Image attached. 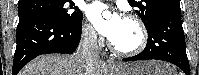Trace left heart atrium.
<instances>
[{
  "label": "left heart atrium",
  "instance_id": "obj_1",
  "mask_svg": "<svg viewBox=\"0 0 199 75\" xmlns=\"http://www.w3.org/2000/svg\"><path fill=\"white\" fill-rule=\"evenodd\" d=\"M106 6L102 3H94L88 9V16L97 31L112 41L120 31L125 18L114 12L109 18L104 17Z\"/></svg>",
  "mask_w": 199,
  "mask_h": 75
}]
</instances>
